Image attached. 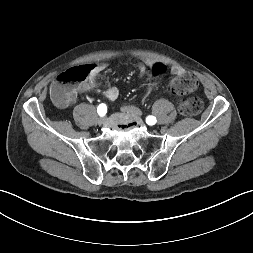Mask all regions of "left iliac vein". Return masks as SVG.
Segmentation results:
<instances>
[{
	"instance_id": "4c4485c4",
	"label": "left iliac vein",
	"mask_w": 253,
	"mask_h": 253,
	"mask_svg": "<svg viewBox=\"0 0 253 253\" xmlns=\"http://www.w3.org/2000/svg\"><path fill=\"white\" fill-rule=\"evenodd\" d=\"M121 111L123 113L133 115V116H135L139 119L142 117L141 111L138 108L134 107V106H124V107L121 108Z\"/></svg>"
}]
</instances>
